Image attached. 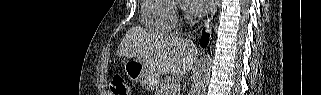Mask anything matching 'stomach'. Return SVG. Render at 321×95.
<instances>
[{
	"mask_svg": "<svg viewBox=\"0 0 321 95\" xmlns=\"http://www.w3.org/2000/svg\"><path fill=\"white\" fill-rule=\"evenodd\" d=\"M124 72L131 81H139L148 90L154 89L157 85L158 75L135 59H127L124 62Z\"/></svg>",
	"mask_w": 321,
	"mask_h": 95,
	"instance_id": "stomach-1",
	"label": "stomach"
}]
</instances>
